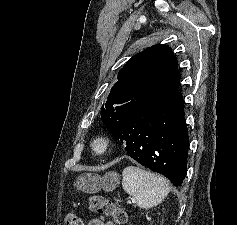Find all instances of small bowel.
Returning <instances> with one entry per match:
<instances>
[{"instance_id":"obj_1","label":"small bowel","mask_w":237,"mask_h":225,"mask_svg":"<svg viewBox=\"0 0 237 225\" xmlns=\"http://www.w3.org/2000/svg\"><path fill=\"white\" fill-rule=\"evenodd\" d=\"M87 225H115V224L111 221H105L102 218L94 217L88 221Z\"/></svg>"}]
</instances>
